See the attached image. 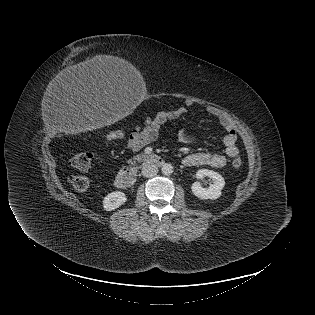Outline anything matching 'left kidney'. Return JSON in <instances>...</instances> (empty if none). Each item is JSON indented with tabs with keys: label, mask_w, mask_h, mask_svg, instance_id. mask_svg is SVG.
<instances>
[{
	"label": "left kidney",
	"mask_w": 315,
	"mask_h": 315,
	"mask_svg": "<svg viewBox=\"0 0 315 315\" xmlns=\"http://www.w3.org/2000/svg\"><path fill=\"white\" fill-rule=\"evenodd\" d=\"M204 177H209L212 179L213 183L209 187L205 188L200 182H194L191 186L193 194L200 199H217L221 196V190L224 188L225 181L224 178L217 172L200 169L196 173V178L203 179Z\"/></svg>",
	"instance_id": "5707ae66"
}]
</instances>
